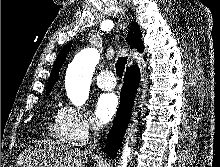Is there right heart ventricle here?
Returning <instances> with one entry per match:
<instances>
[{"mask_svg": "<svg viewBox=\"0 0 220 167\" xmlns=\"http://www.w3.org/2000/svg\"><path fill=\"white\" fill-rule=\"evenodd\" d=\"M51 135L57 139L59 142L64 144H71L72 140L70 136L68 135L67 131L65 130L61 117L60 112L58 114H55L52 117V121L49 127Z\"/></svg>", "mask_w": 220, "mask_h": 167, "instance_id": "obj_1", "label": "right heart ventricle"}]
</instances>
